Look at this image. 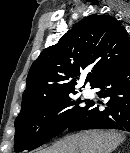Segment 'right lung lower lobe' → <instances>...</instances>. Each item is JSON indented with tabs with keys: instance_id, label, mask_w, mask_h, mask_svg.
Listing matches in <instances>:
<instances>
[{
	"instance_id": "98d812e1",
	"label": "right lung lower lobe",
	"mask_w": 130,
	"mask_h": 153,
	"mask_svg": "<svg viewBox=\"0 0 130 153\" xmlns=\"http://www.w3.org/2000/svg\"><path fill=\"white\" fill-rule=\"evenodd\" d=\"M93 88L99 97L108 98L104 110L89 100L84 110L66 130L119 129L130 132V60L102 76Z\"/></svg>"
}]
</instances>
